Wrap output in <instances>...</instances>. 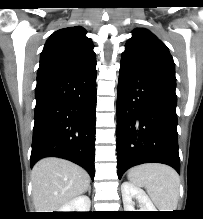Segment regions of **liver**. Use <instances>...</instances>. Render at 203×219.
Returning a JSON list of instances; mask_svg holds the SVG:
<instances>
[{
	"label": "liver",
	"instance_id": "obj_1",
	"mask_svg": "<svg viewBox=\"0 0 203 219\" xmlns=\"http://www.w3.org/2000/svg\"><path fill=\"white\" fill-rule=\"evenodd\" d=\"M31 179L36 212H58L90 186V176L82 167L55 157L39 160L32 169Z\"/></svg>",
	"mask_w": 203,
	"mask_h": 219
}]
</instances>
